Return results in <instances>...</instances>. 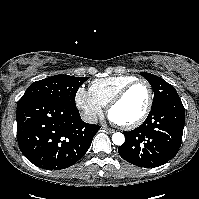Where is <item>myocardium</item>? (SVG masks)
<instances>
[{
    "instance_id": "myocardium-1",
    "label": "myocardium",
    "mask_w": 199,
    "mask_h": 199,
    "mask_svg": "<svg viewBox=\"0 0 199 199\" xmlns=\"http://www.w3.org/2000/svg\"><path fill=\"white\" fill-rule=\"evenodd\" d=\"M139 83L146 85V87L148 89V100H147L145 110L141 114L140 117H138L137 119H135L132 122L118 123L121 128L132 129V128L139 126L146 120V118L148 117V115L152 109L153 99H154L153 88H152L151 84L149 83V81H147L146 79L137 78V79H134L133 81H131L130 83H128L126 86H124L117 93V95L110 101V103L107 106V113L110 114L112 108L114 106H116L118 103H120L123 100V98L125 97V95L128 93V91Z\"/></svg>"
}]
</instances>
